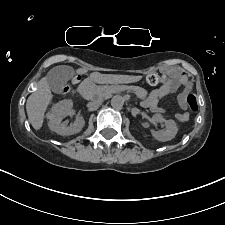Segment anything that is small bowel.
<instances>
[{
  "mask_svg": "<svg viewBox=\"0 0 225 225\" xmlns=\"http://www.w3.org/2000/svg\"><path fill=\"white\" fill-rule=\"evenodd\" d=\"M167 72L173 76V80L152 91L145 101V105L154 112H163V109L160 107L161 99L168 94L175 93L180 88L178 101L183 112L177 113L176 118L180 122H185L189 119V114L186 111V101L192 90V82L186 74L174 68L167 69Z\"/></svg>",
  "mask_w": 225,
  "mask_h": 225,
  "instance_id": "c3829d8e",
  "label": "small bowel"
}]
</instances>
